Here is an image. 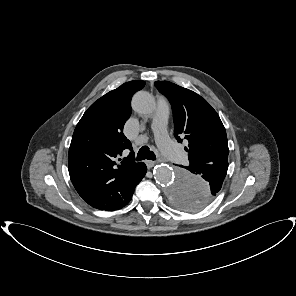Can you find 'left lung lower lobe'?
Listing matches in <instances>:
<instances>
[{
    "instance_id": "0a47b994",
    "label": "left lung lower lobe",
    "mask_w": 296,
    "mask_h": 296,
    "mask_svg": "<svg viewBox=\"0 0 296 296\" xmlns=\"http://www.w3.org/2000/svg\"><path fill=\"white\" fill-rule=\"evenodd\" d=\"M227 169L228 164L226 163H220L218 165L195 164L190 169H187L192 173L201 175L210 185L208 189L198 191L190 196L196 200L197 206H206L214 199L221 189Z\"/></svg>"
}]
</instances>
